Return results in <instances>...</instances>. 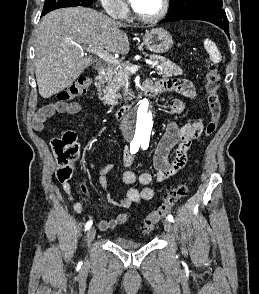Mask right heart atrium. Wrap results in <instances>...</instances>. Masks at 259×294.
<instances>
[{"label": "right heart atrium", "mask_w": 259, "mask_h": 294, "mask_svg": "<svg viewBox=\"0 0 259 294\" xmlns=\"http://www.w3.org/2000/svg\"><path fill=\"white\" fill-rule=\"evenodd\" d=\"M101 3L112 16L123 18L128 13V7L123 0H101Z\"/></svg>", "instance_id": "d8ad5b80"}]
</instances>
